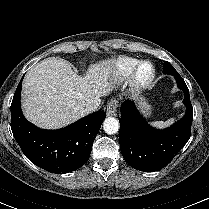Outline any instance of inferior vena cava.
Here are the masks:
<instances>
[{
	"mask_svg": "<svg viewBox=\"0 0 209 209\" xmlns=\"http://www.w3.org/2000/svg\"><path fill=\"white\" fill-rule=\"evenodd\" d=\"M98 105H95V104H88L86 105L85 107L82 108V111L85 113V114H89L93 111H95L97 109Z\"/></svg>",
	"mask_w": 209,
	"mask_h": 209,
	"instance_id": "inferior-vena-cava-1",
	"label": "inferior vena cava"
}]
</instances>
